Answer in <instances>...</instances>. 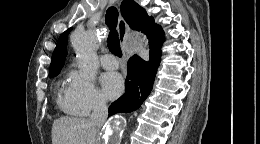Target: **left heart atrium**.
Here are the masks:
<instances>
[{"label":"left heart atrium","instance_id":"1","mask_svg":"<svg viewBox=\"0 0 260 144\" xmlns=\"http://www.w3.org/2000/svg\"><path fill=\"white\" fill-rule=\"evenodd\" d=\"M101 82L105 95L110 99L118 97L123 91V79L118 73L110 72L104 74Z\"/></svg>","mask_w":260,"mask_h":144}]
</instances>
